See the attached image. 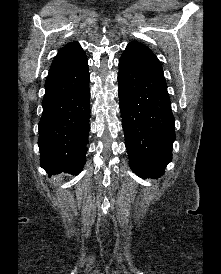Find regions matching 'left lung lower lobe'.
<instances>
[{"label":"left lung lower lobe","instance_id":"0a47b994","mask_svg":"<svg viewBox=\"0 0 221 274\" xmlns=\"http://www.w3.org/2000/svg\"><path fill=\"white\" fill-rule=\"evenodd\" d=\"M119 100L130 167L158 178L172 160L174 117L163 69L156 55L130 42L119 60Z\"/></svg>","mask_w":221,"mask_h":274}]
</instances>
